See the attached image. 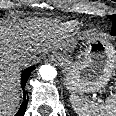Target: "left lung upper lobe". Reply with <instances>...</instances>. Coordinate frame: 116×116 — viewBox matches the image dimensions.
Returning a JSON list of instances; mask_svg holds the SVG:
<instances>
[{
  "instance_id": "left-lung-upper-lobe-1",
  "label": "left lung upper lobe",
  "mask_w": 116,
  "mask_h": 116,
  "mask_svg": "<svg viewBox=\"0 0 116 116\" xmlns=\"http://www.w3.org/2000/svg\"><path fill=\"white\" fill-rule=\"evenodd\" d=\"M110 19H112V31L111 34L116 36V15L109 16Z\"/></svg>"
}]
</instances>
